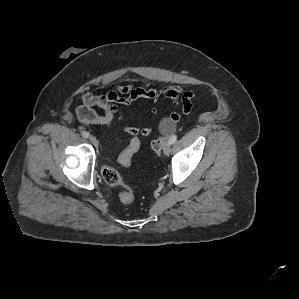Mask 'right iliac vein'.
<instances>
[{"label":"right iliac vein","instance_id":"1","mask_svg":"<svg viewBox=\"0 0 299 299\" xmlns=\"http://www.w3.org/2000/svg\"><path fill=\"white\" fill-rule=\"evenodd\" d=\"M89 140L91 141V143H92L94 146H98V140L96 139V137H94V136H90V137H89Z\"/></svg>","mask_w":299,"mask_h":299}]
</instances>
